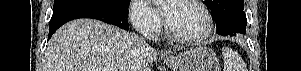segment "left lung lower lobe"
I'll list each match as a JSON object with an SVG mask.
<instances>
[{
    "label": "left lung lower lobe",
    "instance_id": "0a47b994",
    "mask_svg": "<svg viewBox=\"0 0 301 71\" xmlns=\"http://www.w3.org/2000/svg\"><path fill=\"white\" fill-rule=\"evenodd\" d=\"M214 21L219 35L235 36L236 33H246L247 19L243 9H226Z\"/></svg>",
    "mask_w": 301,
    "mask_h": 71
}]
</instances>
